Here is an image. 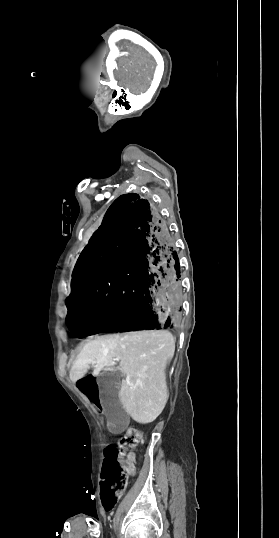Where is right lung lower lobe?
Instances as JSON below:
<instances>
[{
  "label": "right lung lower lobe",
  "mask_w": 279,
  "mask_h": 538,
  "mask_svg": "<svg viewBox=\"0 0 279 538\" xmlns=\"http://www.w3.org/2000/svg\"><path fill=\"white\" fill-rule=\"evenodd\" d=\"M180 277L177 252L158 209L138 194L122 195L75 265L67 324L79 337L174 332L181 320Z\"/></svg>",
  "instance_id": "98d812e1"
}]
</instances>
